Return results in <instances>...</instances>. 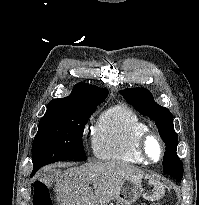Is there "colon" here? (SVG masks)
Wrapping results in <instances>:
<instances>
[{"mask_svg":"<svg viewBox=\"0 0 199 205\" xmlns=\"http://www.w3.org/2000/svg\"><path fill=\"white\" fill-rule=\"evenodd\" d=\"M34 205H52L48 187L42 183L35 185Z\"/></svg>","mask_w":199,"mask_h":205,"instance_id":"1","label":"colon"}]
</instances>
